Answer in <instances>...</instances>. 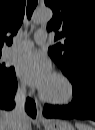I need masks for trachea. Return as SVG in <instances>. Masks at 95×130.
Returning <instances> with one entry per match:
<instances>
[{"label":"trachea","instance_id":"obj_1","mask_svg":"<svg viewBox=\"0 0 95 130\" xmlns=\"http://www.w3.org/2000/svg\"><path fill=\"white\" fill-rule=\"evenodd\" d=\"M38 4V0H28L27 2V17L28 19L31 18L32 13L34 11V9L36 8Z\"/></svg>","mask_w":95,"mask_h":130}]
</instances>
